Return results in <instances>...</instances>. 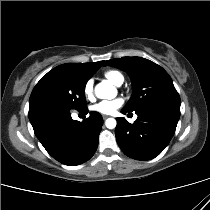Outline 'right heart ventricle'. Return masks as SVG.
Listing matches in <instances>:
<instances>
[{
    "mask_svg": "<svg viewBox=\"0 0 210 210\" xmlns=\"http://www.w3.org/2000/svg\"><path fill=\"white\" fill-rule=\"evenodd\" d=\"M104 77L106 79H108L110 82H112L116 85H120L124 80L123 75L117 70H107V71H105L104 72Z\"/></svg>",
    "mask_w": 210,
    "mask_h": 210,
    "instance_id": "obj_1",
    "label": "right heart ventricle"
}]
</instances>
